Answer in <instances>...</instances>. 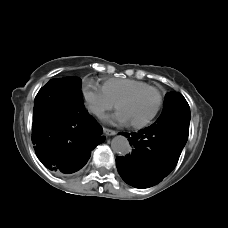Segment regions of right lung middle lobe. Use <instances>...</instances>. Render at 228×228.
<instances>
[{
  "label": "right lung middle lobe",
  "mask_w": 228,
  "mask_h": 228,
  "mask_svg": "<svg viewBox=\"0 0 228 228\" xmlns=\"http://www.w3.org/2000/svg\"><path fill=\"white\" fill-rule=\"evenodd\" d=\"M81 82L77 77H64L52 79L48 83L56 84L60 95L68 102H81Z\"/></svg>",
  "instance_id": "right-lung-middle-lobe-1"
}]
</instances>
